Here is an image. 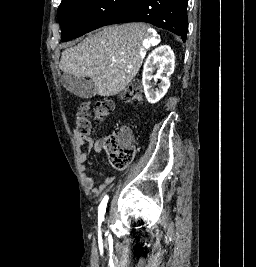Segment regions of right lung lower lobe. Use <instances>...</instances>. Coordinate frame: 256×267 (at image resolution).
Listing matches in <instances>:
<instances>
[{"mask_svg": "<svg viewBox=\"0 0 256 267\" xmlns=\"http://www.w3.org/2000/svg\"><path fill=\"white\" fill-rule=\"evenodd\" d=\"M187 1L188 0H138L129 14L118 16L106 25L123 22H147L187 37Z\"/></svg>", "mask_w": 256, "mask_h": 267, "instance_id": "98d812e1", "label": "right lung lower lobe"}]
</instances>
